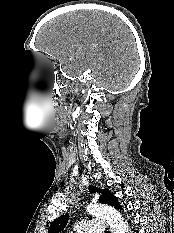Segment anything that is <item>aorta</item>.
<instances>
[{
  "label": "aorta",
  "instance_id": "1",
  "mask_svg": "<svg viewBox=\"0 0 174 233\" xmlns=\"http://www.w3.org/2000/svg\"><path fill=\"white\" fill-rule=\"evenodd\" d=\"M87 212L95 217L105 220L112 233H129L130 229L122 215L114 208L104 204H94L87 208Z\"/></svg>",
  "mask_w": 174,
  "mask_h": 233
}]
</instances>
